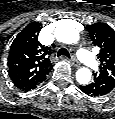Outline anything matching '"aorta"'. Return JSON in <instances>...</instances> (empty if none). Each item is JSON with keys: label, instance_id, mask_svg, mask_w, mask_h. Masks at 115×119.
<instances>
[{"label": "aorta", "instance_id": "aorta-1", "mask_svg": "<svg viewBox=\"0 0 115 119\" xmlns=\"http://www.w3.org/2000/svg\"><path fill=\"white\" fill-rule=\"evenodd\" d=\"M55 37L58 41L66 44H75L80 39L78 30L68 22H62L55 29ZM91 76H92L91 71L86 67L80 68L76 72V79L78 83L83 85L88 84L90 82Z\"/></svg>", "mask_w": 115, "mask_h": 119}]
</instances>
